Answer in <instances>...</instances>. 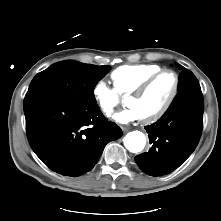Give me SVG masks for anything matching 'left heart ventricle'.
I'll list each match as a JSON object with an SVG mask.
<instances>
[{
  "label": "left heart ventricle",
  "mask_w": 221,
  "mask_h": 221,
  "mask_svg": "<svg viewBox=\"0 0 221 221\" xmlns=\"http://www.w3.org/2000/svg\"><path fill=\"white\" fill-rule=\"evenodd\" d=\"M174 84L172 74L165 73L157 78L147 92L140 97H129L128 107L135 108L141 118L149 117L166 103Z\"/></svg>",
  "instance_id": "b2bd125f"
}]
</instances>
